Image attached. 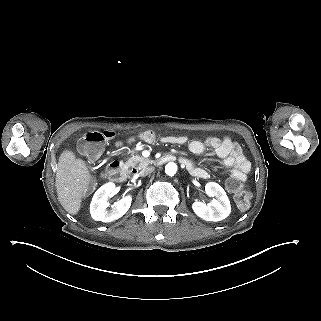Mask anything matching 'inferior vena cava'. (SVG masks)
<instances>
[{
  "instance_id": "obj_1",
  "label": "inferior vena cava",
  "mask_w": 321,
  "mask_h": 321,
  "mask_svg": "<svg viewBox=\"0 0 321 321\" xmlns=\"http://www.w3.org/2000/svg\"><path fill=\"white\" fill-rule=\"evenodd\" d=\"M154 170H155V168L153 166H148V167L143 168L139 174H140V176H147V175L151 174Z\"/></svg>"
}]
</instances>
